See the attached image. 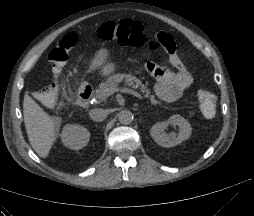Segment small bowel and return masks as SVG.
<instances>
[{
  "mask_svg": "<svg viewBox=\"0 0 254 216\" xmlns=\"http://www.w3.org/2000/svg\"><path fill=\"white\" fill-rule=\"evenodd\" d=\"M154 40L166 51L170 68L174 72L164 70L151 62L145 63L144 66L154 77L155 94L163 101L173 102L179 99L191 86L193 79L182 61L180 62L175 40L163 31L156 32Z\"/></svg>",
  "mask_w": 254,
  "mask_h": 216,
  "instance_id": "obj_1",
  "label": "small bowel"
}]
</instances>
